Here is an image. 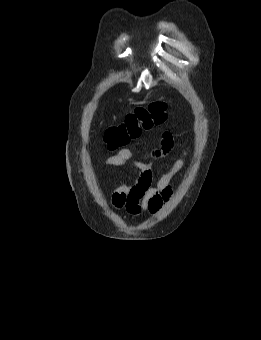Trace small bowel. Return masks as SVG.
I'll use <instances>...</instances> for the list:
<instances>
[{
  "mask_svg": "<svg viewBox=\"0 0 261 340\" xmlns=\"http://www.w3.org/2000/svg\"><path fill=\"white\" fill-rule=\"evenodd\" d=\"M173 147L172 134L164 132L158 147L150 151L146 159L138 158L129 148H122L104 160L103 166H132L139 170V177L134 185L121 184L113 190L111 204L115 209L124 210L133 217L143 213L156 214L161 209L173 193L172 179L183 168L187 152L173 163L170 170L158 179L156 185H152L153 174L150 162L165 157Z\"/></svg>",
  "mask_w": 261,
  "mask_h": 340,
  "instance_id": "obj_1",
  "label": "small bowel"
}]
</instances>
